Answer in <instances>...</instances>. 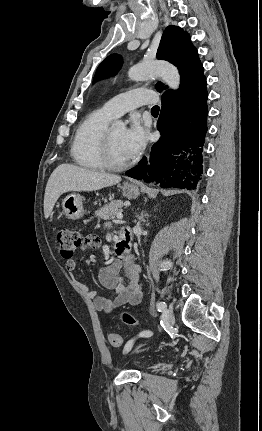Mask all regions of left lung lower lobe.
Returning <instances> with one entry per match:
<instances>
[{"label": "left lung lower lobe", "mask_w": 262, "mask_h": 431, "mask_svg": "<svg viewBox=\"0 0 262 431\" xmlns=\"http://www.w3.org/2000/svg\"><path fill=\"white\" fill-rule=\"evenodd\" d=\"M207 96L205 78L185 90L163 94L157 122L161 138L152 146L149 160L143 158L126 175L162 188L196 189L207 132Z\"/></svg>", "instance_id": "0a47b994"}]
</instances>
